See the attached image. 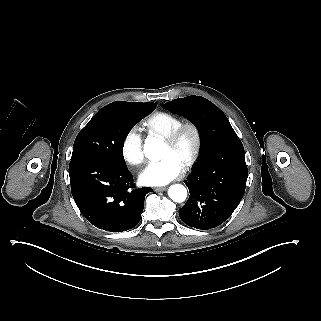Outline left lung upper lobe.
Wrapping results in <instances>:
<instances>
[{
    "instance_id": "1",
    "label": "left lung upper lobe",
    "mask_w": 321,
    "mask_h": 321,
    "mask_svg": "<svg viewBox=\"0 0 321 321\" xmlns=\"http://www.w3.org/2000/svg\"><path fill=\"white\" fill-rule=\"evenodd\" d=\"M162 107L183 115L197 127L201 137L200 161L222 146L241 142L225 114L201 96L175 99Z\"/></svg>"
}]
</instances>
